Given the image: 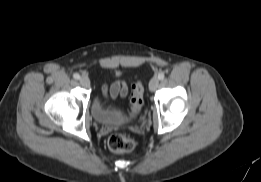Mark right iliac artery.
<instances>
[{"label": "right iliac artery", "mask_w": 261, "mask_h": 182, "mask_svg": "<svg viewBox=\"0 0 261 182\" xmlns=\"http://www.w3.org/2000/svg\"><path fill=\"white\" fill-rule=\"evenodd\" d=\"M73 78L76 79V80H78V79H80V75H79L78 73H75V74L73 75Z\"/></svg>", "instance_id": "82829eb1"}]
</instances>
